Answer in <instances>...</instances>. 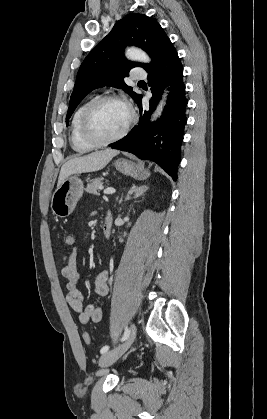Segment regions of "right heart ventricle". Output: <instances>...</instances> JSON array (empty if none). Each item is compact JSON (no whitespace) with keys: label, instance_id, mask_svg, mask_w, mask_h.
Segmentation results:
<instances>
[{"label":"right heart ventricle","instance_id":"obj_1","mask_svg":"<svg viewBox=\"0 0 267 419\" xmlns=\"http://www.w3.org/2000/svg\"><path fill=\"white\" fill-rule=\"evenodd\" d=\"M89 102L90 101H86L82 103L75 110L72 117V121H71V135H70L71 147L75 152L81 153V154L90 152L95 148V146L88 144L82 139L80 135V131H79L80 118H81L82 112Z\"/></svg>","mask_w":267,"mask_h":419}]
</instances>
